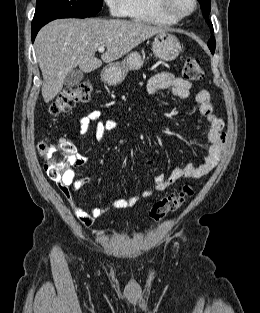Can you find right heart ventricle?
Returning a JSON list of instances; mask_svg holds the SVG:
<instances>
[{
  "instance_id": "right-heart-ventricle-1",
  "label": "right heart ventricle",
  "mask_w": 260,
  "mask_h": 313,
  "mask_svg": "<svg viewBox=\"0 0 260 313\" xmlns=\"http://www.w3.org/2000/svg\"><path fill=\"white\" fill-rule=\"evenodd\" d=\"M126 16L140 23L172 25L175 22L164 17L156 8V0H127Z\"/></svg>"
}]
</instances>
